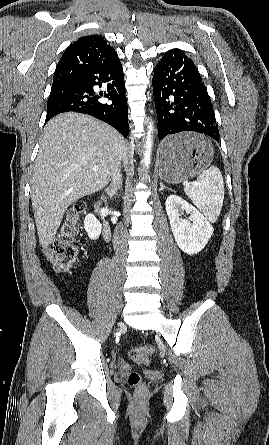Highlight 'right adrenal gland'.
<instances>
[{"mask_svg":"<svg viewBox=\"0 0 269 445\" xmlns=\"http://www.w3.org/2000/svg\"><path fill=\"white\" fill-rule=\"evenodd\" d=\"M119 177H120V180H119V183H118L117 186L110 185L109 187L106 188L107 194L110 197L114 196L117 193V190L121 189V187H122V177H121V174L119 175Z\"/></svg>","mask_w":269,"mask_h":445,"instance_id":"right-adrenal-gland-1","label":"right adrenal gland"}]
</instances>
